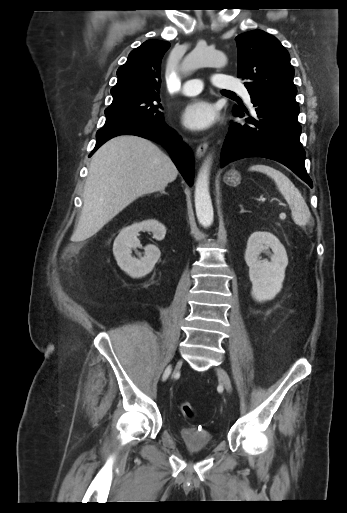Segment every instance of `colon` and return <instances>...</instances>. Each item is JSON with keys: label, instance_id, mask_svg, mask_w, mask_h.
I'll return each instance as SVG.
<instances>
[{"label": "colon", "instance_id": "1", "mask_svg": "<svg viewBox=\"0 0 347 513\" xmlns=\"http://www.w3.org/2000/svg\"><path fill=\"white\" fill-rule=\"evenodd\" d=\"M180 411L185 418L191 419L195 415L194 407L191 403L184 401L180 403Z\"/></svg>", "mask_w": 347, "mask_h": 513}]
</instances>
